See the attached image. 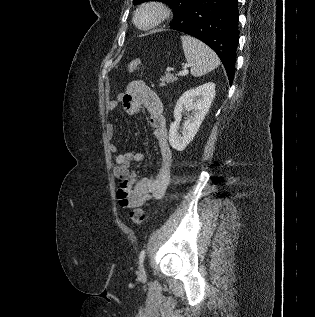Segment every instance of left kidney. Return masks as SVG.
Wrapping results in <instances>:
<instances>
[{
	"instance_id": "left-kidney-1",
	"label": "left kidney",
	"mask_w": 315,
	"mask_h": 317,
	"mask_svg": "<svg viewBox=\"0 0 315 317\" xmlns=\"http://www.w3.org/2000/svg\"><path fill=\"white\" fill-rule=\"evenodd\" d=\"M215 97V84L205 83L194 89L184 92L174 109L175 121L169 130V143L175 150L182 151L195 137ZM192 111V115L184 122V131L178 132L182 112Z\"/></svg>"
}]
</instances>
